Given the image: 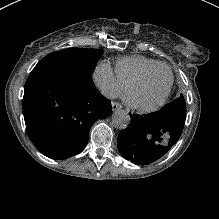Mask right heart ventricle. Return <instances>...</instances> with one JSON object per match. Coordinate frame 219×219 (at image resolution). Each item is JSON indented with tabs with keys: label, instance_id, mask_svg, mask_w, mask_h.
Returning <instances> with one entry per match:
<instances>
[{
	"label": "right heart ventricle",
	"instance_id": "1",
	"mask_svg": "<svg viewBox=\"0 0 219 219\" xmlns=\"http://www.w3.org/2000/svg\"><path fill=\"white\" fill-rule=\"evenodd\" d=\"M160 62L151 57L135 54L119 58L115 63V75L123 86L130 83L145 71L155 69Z\"/></svg>",
	"mask_w": 219,
	"mask_h": 219
}]
</instances>
